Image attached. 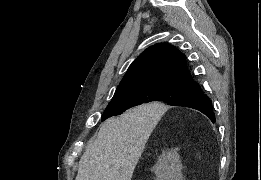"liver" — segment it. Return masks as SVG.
<instances>
[{
	"label": "liver",
	"mask_w": 261,
	"mask_h": 180,
	"mask_svg": "<svg viewBox=\"0 0 261 180\" xmlns=\"http://www.w3.org/2000/svg\"><path fill=\"white\" fill-rule=\"evenodd\" d=\"M160 106L158 102L144 104L106 120L96 140L88 144L75 180H131Z\"/></svg>",
	"instance_id": "6515ba94"
}]
</instances>
